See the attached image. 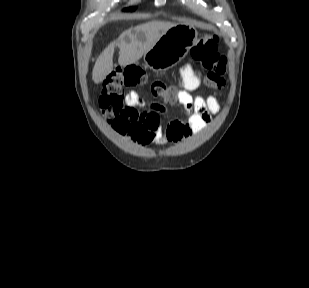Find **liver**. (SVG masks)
Listing matches in <instances>:
<instances>
[{"instance_id":"6515ba94","label":"liver","mask_w":309,"mask_h":288,"mask_svg":"<svg viewBox=\"0 0 309 288\" xmlns=\"http://www.w3.org/2000/svg\"><path fill=\"white\" fill-rule=\"evenodd\" d=\"M175 25L176 23L168 21H150L121 33L118 40L110 43L99 55L92 71L94 83L102 82L113 71L115 45L120 49L119 65L127 66L138 61L166 31ZM140 35L143 40H140Z\"/></svg>"}]
</instances>
